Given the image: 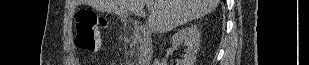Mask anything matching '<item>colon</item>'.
Listing matches in <instances>:
<instances>
[{
  "label": "colon",
  "instance_id": "5ec220e1",
  "mask_svg": "<svg viewBox=\"0 0 309 65\" xmlns=\"http://www.w3.org/2000/svg\"><path fill=\"white\" fill-rule=\"evenodd\" d=\"M107 20L90 11H79L75 15L76 46L86 52L98 51L101 48L99 30L107 27Z\"/></svg>",
  "mask_w": 309,
  "mask_h": 65
}]
</instances>
